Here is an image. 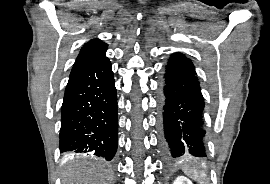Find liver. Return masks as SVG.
Returning a JSON list of instances; mask_svg holds the SVG:
<instances>
[{
	"label": "liver",
	"mask_w": 270,
	"mask_h": 184,
	"mask_svg": "<svg viewBox=\"0 0 270 184\" xmlns=\"http://www.w3.org/2000/svg\"><path fill=\"white\" fill-rule=\"evenodd\" d=\"M112 180V172L101 163L69 168L62 176L63 184H112Z\"/></svg>",
	"instance_id": "6515ba94"
}]
</instances>
